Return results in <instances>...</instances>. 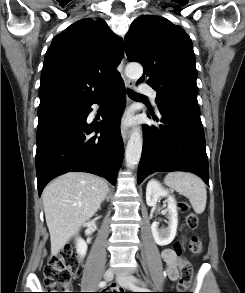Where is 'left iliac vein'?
Masks as SVG:
<instances>
[{
    "instance_id": "left-iliac-vein-1",
    "label": "left iliac vein",
    "mask_w": 245,
    "mask_h": 293,
    "mask_svg": "<svg viewBox=\"0 0 245 293\" xmlns=\"http://www.w3.org/2000/svg\"><path fill=\"white\" fill-rule=\"evenodd\" d=\"M116 281L119 285H121L122 287H125V288H130L132 284L139 283V280L130 274L118 275L116 277Z\"/></svg>"
}]
</instances>
